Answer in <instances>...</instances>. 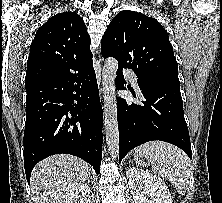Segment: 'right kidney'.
<instances>
[{"label": "right kidney", "instance_id": "1", "mask_svg": "<svg viewBox=\"0 0 222 203\" xmlns=\"http://www.w3.org/2000/svg\"><path fill=\"white\" fill-rule=\"evenodd\" d=\"M90 188L87 184H78L67 192L59 203H90Z\"/></svg>", "mask_w": 222, "mask_h": 203}]
</instances>
